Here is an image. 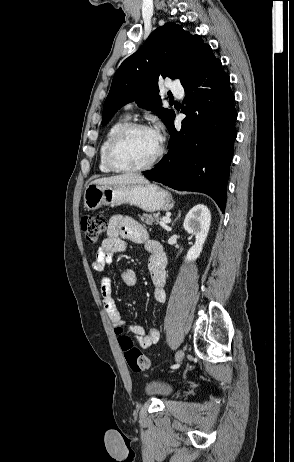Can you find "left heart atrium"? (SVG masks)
I'll return each instance as SVG.
<instances>
[{"label":"left heart atrium","mask_w":294,"mask_h":462,"mask_svg":"<svg viewBox=\"0 0 294 462\" xmlns=\"http://www.w3.org/2000/svg\"><path fill=\"white\" fill-rule=\"evenodd\" d=\"M153 132H154V134H155V136H156L158 142L161 143L162 140H163V133H162L161 129H160V128H156Z\"/></svg>","instance_id":"39dd6f15"}]
</instances>
